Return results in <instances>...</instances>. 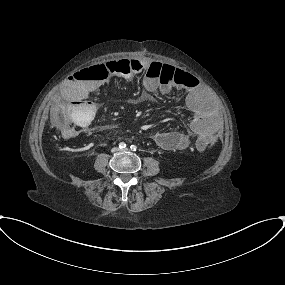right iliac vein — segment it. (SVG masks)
Masks as SVG:
<instances>
[{"label":"right iliac vein","instance_id":"right-iliac-vein-1","mask_svg":"<svg viewBox=\"0 0 285 285\" xmlns=\"http://www.w3.org/2000/svg\"><path fill=\"white\" fill-rule=\"evenodd\" d=\"M116 151H118V148L115 147L112 149V152H116Z\"/></svg>","mask_w":285,"mask_h":285}]
</instances>
